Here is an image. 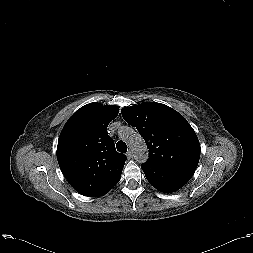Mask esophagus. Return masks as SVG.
Masks as SVG:
<instances>
[{
    "label": "esophagus",
    "instance_id": "obj_1",
    "mask_svg": "<svg viewBox=\"0 0 253 253\" xmlns=\"http://www.w3.org/2000/svg\"><path fill=\"white\" fill-rule=\"evenodd\" d=\"M126 155L128 159H131L133 157V152L131 150H128Z\"/></svg>",
    "mask_w": 253,
    "mask_h": 253
}]
</instances>
